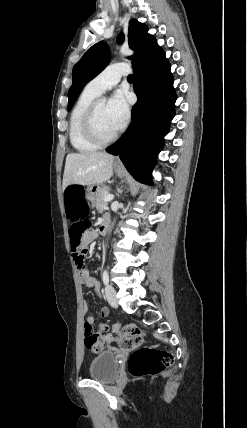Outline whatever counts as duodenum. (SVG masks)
Instances as JSON below:
<instances>
[{
  "label": "duodenum",
  "instance_id": "410a0bca",
  "mask_svg": "<svg viewBox=\"0 0 247 428\" xmlns=\"http://www.w3.org/2000/svg\"><path fill=\"white\" fill-rule=\"evenodd\" d=\"M109 222H110L109 218L105 217L103 219V221L101 223V228H100V231H101L102 234H105L107 232L108 227H109Z\"/></svg>",
  "mask_w": 247,
  "mask_h": 428
}]
</instances>
